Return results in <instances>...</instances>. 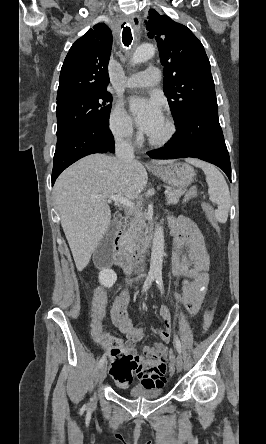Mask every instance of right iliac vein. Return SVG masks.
<instances>
[{"label": "right iliac vein", "mask_w": 266, "mask_h": 444, "mask_svg": "<svg viewBox=\"0 0 266 444\" xmlns=\"http://www.w3.org/2000/svg\"><path fill=\"white\" fill-rule=\"evenodd\" d=\"M107 374V365L103 364V366L100 368L99 374H98V383L99 385L104 381Z\"/></svg>", "instance_id": "obj_1"}]
</instances>
